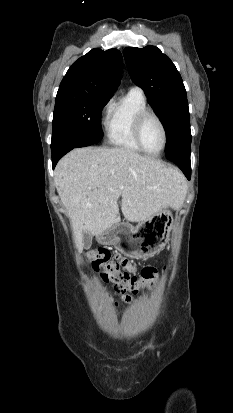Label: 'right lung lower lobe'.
I'll list each match as a JSON object with an SVG mask.
<instances>
[{
    "label": "right lung lower lobe",
    "instance_id": "obj_1",
    "mask_svg": "<svg viewBox=\"0 0 233 413\" xmlns=\"http://www.w3.org/2000/svg\"><path fill=\"white\" fill-rule=\"evenodd\" d=\"M89 145L91 144H87V143L62 144V145H58L55 148H51L53 168L56 166L59 159L63 157L66 153H68L70 150L74 148H78V147L89 146Z\"/></svg>",
    "mask_w": 233,
    "mask_h": 413
}]
</instances>
